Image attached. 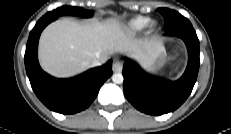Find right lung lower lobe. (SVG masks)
<instances>
[{"instance_id": "obj_1", "label": "right lung lower lobe", "mask_w": 231, "mask_h": 134, "mask_svg": "<svg viewBox=\"0 0 231 134\" xmlns=\"http://www.w3.org/2000/svg\"><path fill=\"white\" fill-rule=\"evenodd\" d=\"M54 20L41 18L30 32L24 57L26 72L33 91L46 107L62 114H73L94 101L102 84L112 75V61L69 79L45 73L38 63V40L42 30Z\"/></svg>"}]
</instances>
